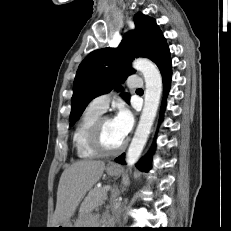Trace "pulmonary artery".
Returning a JSON list of instances; mask_svg holds the SVG:
<instances>
[{
  "mask_svg": "<svg viewBox=\"0 0 231 231\" xmlns=\"http://www.w3.org/2000/svg\"><path fill=\"white\" fill-rule=\"evenodd\" d=\"M126 84L129 88L136 89L142 87L143 81L138 75H131ZM111 97V93L100 95L91 101L90 106L103 113L107 110Z\"/></svg>",
  "mask_w": 231,
  "mask_h": 231,
  "instance_id": "obj_1",
  "label": "pulmonary artery"
}]
</instances>
